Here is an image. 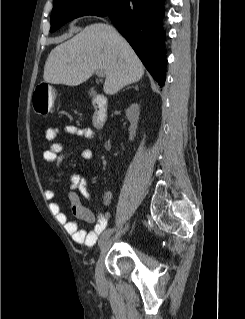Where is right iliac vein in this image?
I'll return each mask as SVG.
<instances>
[{
  "instance_id": "right-iliac-vein-1",
  "label": "right iliac vein",
  "mask_w": 245,
  "mask_h": 319,
  "mask_svg": "<svg viewBox=\"0 0 245 319\" xmlns=\"http://www.w3.org/2000/svg\"><path fill=\"white\" fill-rule=\"evenodd\" d=\"M130 227V224H127L125 228H122L118 230V232L113 236V240H118L120 237H122L125 232ZM111 235L105 231L99 239V245L101 246V252L100 256L98 258V261L96 263L95 268V280L98 285H102L104 282V260L108 251V244H109V238Z\"/></svg>"
}]
</instances>
